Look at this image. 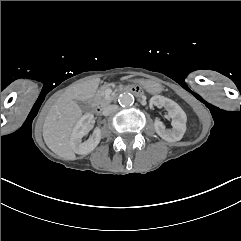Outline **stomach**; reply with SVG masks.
I'll return each instance as SVG.
<instances>
[{"instance_id": "1", "label": "stomach", "mask_w": 241, "mask_h": 241, "mask_svg": "<svg viewBox=\"0 0 241 241\" xmlns=\"http://www.w3.org/2000/svg\"><path fill=\"white\" fill-rule=\"evenodd\" d=\"M139 83L144 87V89L149 93H160L163 90V87L160 83L152 80H139Z\"/></svg>"}]
</instances>
